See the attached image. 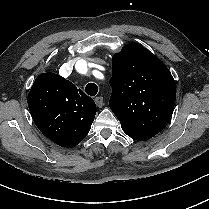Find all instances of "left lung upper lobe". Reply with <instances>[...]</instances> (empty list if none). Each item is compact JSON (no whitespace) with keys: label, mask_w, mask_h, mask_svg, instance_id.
Masks as SVG:
<instances>
[{"label":"left lung upper lobe","mask_w":209,"mask_h":209,"mask_svg":"<svg viewBox=\"0 0 209 209\" xmlns=\"http://www.w3.org/2000/svg\"><path fill=\"white\" fill-rule=\"evenodd\" d=\"M109 106L131 138L144 141L159 133L172 114L176 85L166 65L137 43L113 56Z\"/></svg>","instance_id":"left-lung-upper-lobe-1"}]
</instances>
